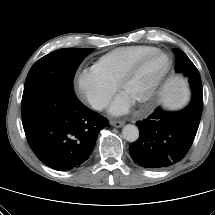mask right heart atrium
<instances>
[{
  "label": "right heart atrium",
  "mask_w": 215,
  "mask_h": 215,
  "mask_svg": "<svg viewBox=\"0 0 215 215\" xmlns=\"http://www.w3.org/2000/svg\"><path fill=\"white\" fill-rule=\"evenodd\" d=\"M74 86L78 96L96 110L108 105L117 88L116 84L103 76L94 66L79 71L75 76Z\"/></svg>",
  "instance_id": "1"
}]
</instances>
